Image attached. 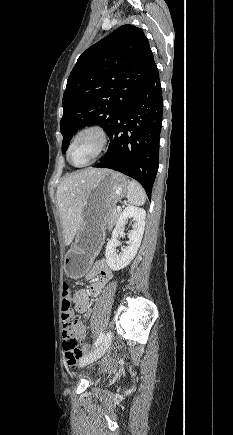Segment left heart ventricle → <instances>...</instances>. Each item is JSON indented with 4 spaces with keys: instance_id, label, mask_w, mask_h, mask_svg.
<instances>
[{
    "instance_id": "b2bd125f",
    "label": "left heart ventricle",
    "mask_w": 233,
    "mask_h": 435,
    "mask_svg": "<svg viewBox=\"0 0 233 435\" xmlns=\"http://www.w3.org/2000/svg\"><path fill=\"white\" fill-rule=\"evenodd\" d=\"M97 142L93 137L87 136L77 141L70 151V161L80 165L92 158L96 151Z\"/></svg>"
}]
</instances>
